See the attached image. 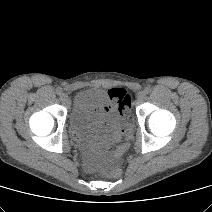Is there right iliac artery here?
Here are the masks:
<instances>
[{"instance_id": "right-iliac-artery-1", "label": "right iliac artery", "mask_w": 212, "mask_h": 212, "mask_svg": "<svg viewBox=\"0 0 212 212\" xmlns=\"http://www.w3.org/2000/svg\"><path fill=\"white\" fill-rule=\"evenodd\" d=\"M56 93H57L58 95H61L62 89H61L60 87H58V88L56 89Z\"/></svg>"}]
</instances>
